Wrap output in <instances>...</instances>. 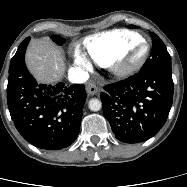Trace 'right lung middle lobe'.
Masks as SVG:
<instances>
[{"label":"right lung middle lobe","instance_id":"1","mask_svg":"<svg viewBox=\"0 0 187 187\" xmlns=\"http://www.w3.org/2000/svg\"><path fill=\"white\" fill-rule=\"evenodd\" d=\"M51 39H52L56 44H58V45H62V44L64 43V41H65L64 38L59 37L58 35H52V36H51Z\"/></svg>","mask_w":187,"mask_h":187}]
</instances>
